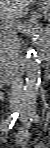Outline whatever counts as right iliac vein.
Returning a JSON list of instances; mask_svg holds the SVG:
<instances>
[{"label":"right iliac vein","mask_w":50,"mask_h":148,"mask_svg":"<svg viewBox=\"0 0 50 148\" xmlns=\"http://www.w3.org/2000/svg\"><path fill=\"white\" fill-rule=\"evenodd\" d=\"M10 110H11V112L14 113L17 110V107L16 106H11Z\"/></svg>","instance_id":"right-iliac-vein-1"}]
</instances>
